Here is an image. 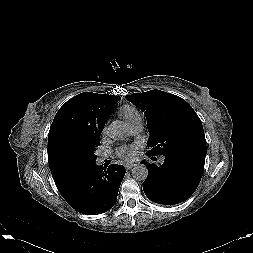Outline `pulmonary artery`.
<instances>
[{
    "label": "pulmonary artery",
    "instance_id": "pulmonary-artery-1",
    "mask_svg": "<svg viewBox=\"0 0 253 253\" xmlns=\"http://www.w3.org/2000/svg\"><path fill=\"white\" fill-rule=\"evenodd\" d=\"M128 126H129V129H130V131L133 135L139 134L141 132V129H142L141 119H139L137 121H134L132 123H129ZM106 157H107V155H101L99 160L102 161Z\"/></svg>",
    "mask_w": 253,
    "mask_h": 253
}]
</instances>
